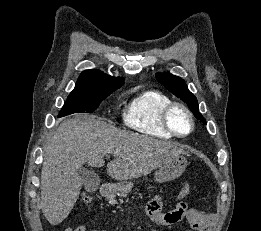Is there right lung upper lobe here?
<instances>
[{
    "label": "right lung upper lobe",
    "mask_w": 261,
    "mask_h": 231,
    "mask_svg": "<svg viewBox=\"0 0 261 231\" xmlns=\"http://www.w3.org/2000/svg\"><path fill=\"white\" fill-rule=\"evenodd\" d=\"M124 79L112 77L98 70H85L78 78L73 94H101L120 88Z\"/></svg>",
    "instance_id": "obj_1"
}]
</instances>
